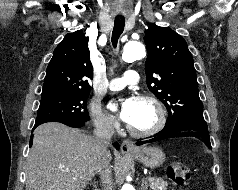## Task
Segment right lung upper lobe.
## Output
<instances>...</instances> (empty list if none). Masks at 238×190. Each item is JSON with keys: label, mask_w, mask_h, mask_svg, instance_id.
<instances>
[{"label": "right lung upper lobe", "mask_w": 238, "mask_h": 190, "mask_svg": "<svg viewBox=\"0 0 238 190\" xmlns=\"http://www.w3.org/2000/svg\"><path fill=\"white\" fill-rule=\"evenodd\" d=\"M88 41L89 37L78 30L59 43L47 67L42 97L90 92L93 74Z\"/></svg>", "instance_id": "cb5924a9"}]
</instances>
